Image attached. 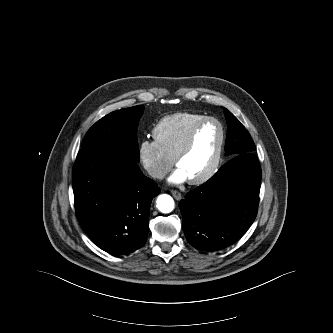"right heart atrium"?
<instances>
[{"mask_svg": "<svg viewBox=\"0 0 333 333\" xmlns=\"http://www.w3.org/2000/svg\"><path fill=\"white\" fill-rule=\"evenodd\" d=\"M140 162L148 173L155 179H162L172 167V159L168 158L154 141L143 140L138 147Z\"/></svg>", "mask_w": 333, "mask_h": 333, "instance_id": "right-heart-atrium-1", "label": "right heart atrium"}]
</instances>
